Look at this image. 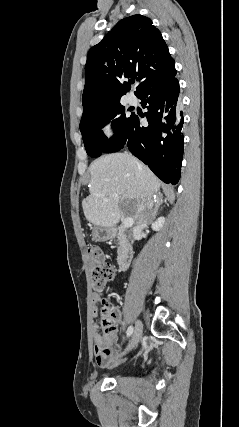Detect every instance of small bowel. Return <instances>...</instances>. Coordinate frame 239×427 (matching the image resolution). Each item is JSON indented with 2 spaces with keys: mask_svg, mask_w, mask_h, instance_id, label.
Wrapping results in <instances>:
<instances>
[{
  "mask_svg": "<svg viewBox=\"0 0 239 427\" xmlns=\"http://www.w3.org/2000/svg\"><path fill=\"white\" fill-rule=\"evenodd\" d=\"M94 303H98L101 301V295L100 294H94L93 296ZM115 323L118 324L120 321V312L118 310L113 311ZM115 334H113L112 338L115 339ZM94 340H95V356H96V363L100 367H112L120 362H122V357L120 354H113V347L110 344L109 347L103 348V340L99 334L97 325L95 326V332H94Z\"/></svg>",
  "mask_w": 239,
  "mask_h": 427,
  "instance_id": "1",
  "label": "small bowel"
}]
</instances>
